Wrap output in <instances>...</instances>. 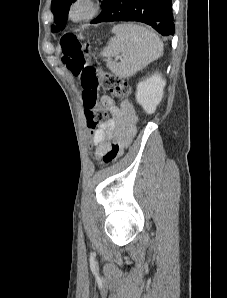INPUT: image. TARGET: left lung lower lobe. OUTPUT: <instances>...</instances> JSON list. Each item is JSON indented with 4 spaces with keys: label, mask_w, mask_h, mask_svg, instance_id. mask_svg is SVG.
Masks as SVG:
<instances>
[{
    "label": "left lung lower lobe",
    "mask_w": 227,
    "mask_h": 298,
    "mask_svg": "<svg viewBox=\"0 0 227 298\" xmlns=\"http://www.w3.org/2000/svg\"><path fill=\"white\" fill-rule=\"evenodd\" d=\"M144 22L164 36L174 34L172 0H108L100 22Z\"/></svg>",
    "instance_id": "obj_1"
}]
</instances>
